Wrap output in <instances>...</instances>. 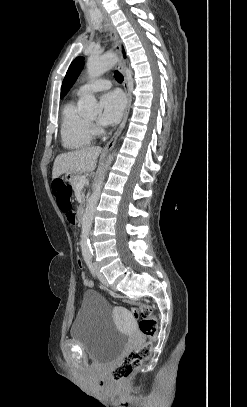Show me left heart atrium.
Instances as JSON below:
<instances>
[{"mask_svg":"<svg viewBox=\"0 0 247 407\" xmlns=\"http://www.w3.org/2000/svg\"><path fill=\"white\" fill-rule=\"evenodd\" d=\"M102 114L100 123L103 125L116 124L123 112L125 100L119 91L106 93L101 99Z\"/></svg>","mask_w":247,"mask_h":407,"instance_id":"obj_1","label":"left heart atrium"}]
</instances>
